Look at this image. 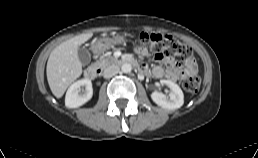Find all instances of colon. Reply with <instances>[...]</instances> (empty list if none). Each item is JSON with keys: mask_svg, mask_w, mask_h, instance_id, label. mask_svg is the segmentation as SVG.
I'll return each mask as SVG.
<instances>
[{"mask_svg": "<svg viewBox=\"0 0 258 158\" xmlns=\"http://www.w3.org/2000/svg\"><path fill=\"white\" fill-rule=\"evenodd\" d=\"M138 42L143 49L157 55L173 56L179 62L187 63L192 59V50L168 35L143 32L138 36ZM183 87L189 93L198 92L200 78L195 74L188 75L183 81Z\"/></svg>", "mask_w": 258, "mask_h": 158, "instance_id": "obj_1", "label": "colon"}]
</instances>
